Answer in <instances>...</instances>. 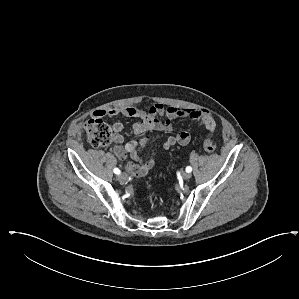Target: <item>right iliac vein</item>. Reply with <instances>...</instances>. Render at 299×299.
<instances>
[{
    "label": "right iliac vein",
    "mask_w": 299,
    "mask_h": 299,
    "mask_svg": "<svg viewBox=\"0 0 299 299\" xmlns=\"http://www.w3.org/2000/svg\"><path fill=\"white\" fill-rule=\"evenodd\" d=\"M117 179L120 183H124L127 179V174L121 173L120 175H118Z\"/></svg>",
    "instance_id": "63e3f726"
}]
</instances>
